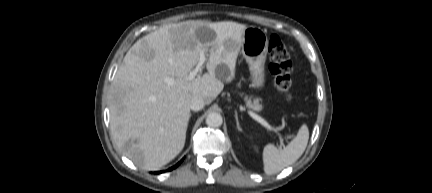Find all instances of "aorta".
Listing matches in <instances>:
<instances>
[{"mask_svg":"<svg viewBox=\"0 0 432 193\" xmlns=\"http://www.w3.org/2000/svg\"><path fill=\"white\" fill-rule=\"evenodd\" d=\"M223 123V118L219 113L211 112L206 117V124L209 127L217 128L220 127Z\"/></svg>","mask_w":432,"mask_h":193,"instance_id":"aorta-1","label":"aorta"}]
</instances>
